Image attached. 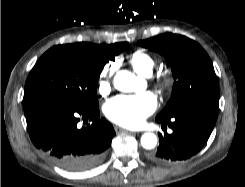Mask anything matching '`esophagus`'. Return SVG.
I'll list each match as a JSON object with an SVG mask.
<instances>
[{
	"label": "esophagus",
	"instance_id": "1",
	"mask_svg": "<svg viewBox=\"0 0 245 187\" xmlns=\"http://www.w3.org/2000/svg\"><path fill=\"white\" fill-rule=\"evenodd\" d=\"M115 130L117 131V132H121V131H128L127 129H124V128H121V127H115ZM129 132H131V133H136V131H129Z\"/></svg>",
	"mask_w": 245,
	"mask_h": 187
}]
</instances>
